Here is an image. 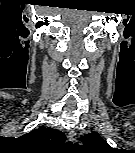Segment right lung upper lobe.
Wrapping results in <instances>:
<instances>
[{"label":"right lung upper lobe","instance_id":"cb5924a9","mask_svg":"<svg viewBox=\"0 0 135 153\" xmlns=\"http://www.w3.org/2000/svg\"><path fill=\"white\" fill-rule=\"evenodd\" d=\"M20 138H22L28 143H32L39 146L53 144L58 141L63 142L66 139L65 135L61 131L45 127L34 129L31 132L24 134Z\"/></svg>","mask_w":135,"mask_h":153}]
</instances>
